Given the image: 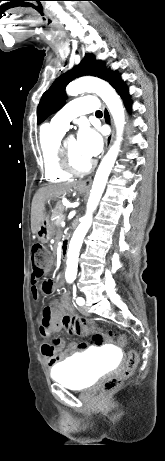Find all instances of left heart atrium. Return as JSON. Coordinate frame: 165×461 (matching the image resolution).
<instances>
[{"instance_id":"39dd6f15","label":"left heart atrium","mask_w":165,"mask_h":461,"mask_svg":"<svg viewBox=\"0 0 165 461\" xmlns=\"http://www.w3.org/2000/svg\"><path fill=\"white\" fill-rule=\"evenodd\" d=\"M76 141L79 150L88 159H92L97 156L103 145L100 134L86 125L80 128Z\"/></svg>"}]
</instances>
